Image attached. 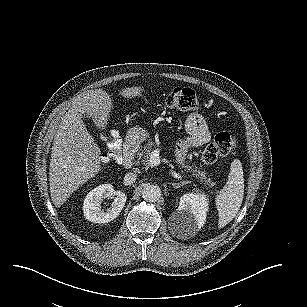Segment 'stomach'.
Masks as SVG:
<instances>
[{
    "mask_svg": "<svg viewBox=\"0 0 307 307\" xmlns=\"http://www.w3.org/2000/svg\"><path fill=\"white\" fill-rule=\"evenodd\" d=\"M149 136L150 134L147 130L139 126H135L127 131L125 141L131 144L132 146L139 145L142 142H144L147 138H149Z\"/></svg>",
    "mask_w": 307,
    "mask_h": 307,
    "instance_id": "obj_1",
    "label": "stomach"
}]
</instances>
